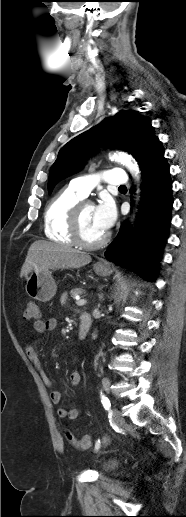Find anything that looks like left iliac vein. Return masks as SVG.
Wrapping results in <instances>:
<instances>
[{"mask_svg": "<svg viewBox=\"0 0 186 517\" xmlns=\"http://www.w3.org/2000/svg\"><path fill=\"white\" fill-rule=\"evenodd\" d=\"M112 414H113V420H114L116 425L120 426V425H122L124 423V419L122 417V414H121V412L117 408H113L112 409Z\"/></svg>", "mask_w": 186, "mask_h": 517, "instance_id": "4c4485c4", "label": "left iliac vein"}]
</instances>
